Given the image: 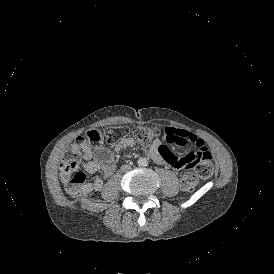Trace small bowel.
I'll return each instance as SVG.
<instances>
[{"label": "small bowel", "mask_w": 274, "mask_h": 274, "mask_svg": "<svg viewBox=\"0 0 274 274\" xmlns=\"http://www.w3.org/2000/svg\"><path fill=\"white\" fill-rule=\"evenodd\" d=\"M164 144L160 140H155L148 148L147 153L151 159L159 165H170L176 169L190 168L195 165L196 175L201 179H209L213 175L214 157L211 154L193 153L191 155L178 154L176 148L188 143L195 144L199 150L208 149L206 143L196 134L187 130L174 129L167 126L164 129ZM133 140L129 137L121 138L115 145V149L120 151L133 145ZM160 146V147H159ZM79 148L83 154L85 170L93 174L99 170L103 171V177L95 178L91 183L83 186L81 195H87L92 191L98 192L104 185V180L110 176L115 169L112 153L101 145H92L88 141H82ZM209 151V150H208ZM210 153V152H209ZM168 157V163L163 157Z\"/></svg>", "instance_id": "obj_1"}]
</instances>
